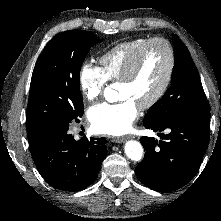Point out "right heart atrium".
Segmentation results:
<instances>
[{
    "mask_svg": "<svg viewBox=\"0 0 221 221\" xmlns=\"http://www.w3.org/2000/svg\"><path fill=\"white\" fill-rule=\"evenodd\" d=\"M107 82L108 80L100 67L90 61L83 63L79 73V85L85 100L94 102L100 98Z\"/></svg>",
    "mask_w": 221,
    "mask_h": 221,
    "instance_id": "d8ad5b80",
    "label": "right heart atrium"
}]
</instances>
